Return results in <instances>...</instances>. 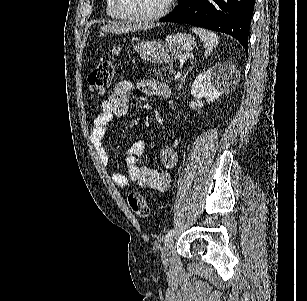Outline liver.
Segmentation results:
<instances>
[{
  "mask_svg": "<svg viewBox=\"0 0 307 301\" xmlns=\"http://www.w3.org/2000/svg\"><path fill=\"white\" fill-rule=\"evenodd\" d=\"M155 24H126L120 20H111L108 24H103L101 30L103 32H111V34H125V32H135V30H146V28H154Z\"/></svg>",
  "mask_w": 307,
  "mask_h": 301,
  "instance_id": "1",
  "label": "liver"
}]
</instances>
